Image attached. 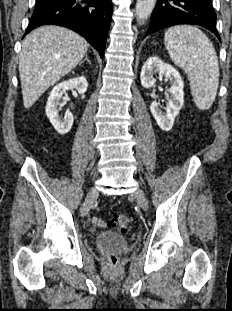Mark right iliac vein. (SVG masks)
Here are the masks:
<instances>
[{
	"mask_svg": "<svg viewBox=\"0 0 232 311\" xmlns=\"http://www.w3.org/2000/svg\"><path fill=\"white\" fill-rule=\"evenodd\" d=\"M97 196H98L97 188L96 187H92L89 190V192H88V194L86 196V199L84 201V204H83V206L81 208V216L82 217H84V216H86L88 214V212H89V210H90V208H91V206H92V204H93V202H94V200H95V198Z\"/></svg>",
	"mask_w": 232,
	"mask_h": 311,
	"instance_id": "1",
	"label": "right iliac vein"
}]
</instances>
